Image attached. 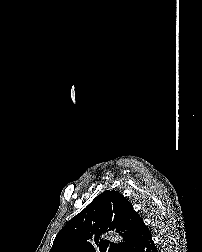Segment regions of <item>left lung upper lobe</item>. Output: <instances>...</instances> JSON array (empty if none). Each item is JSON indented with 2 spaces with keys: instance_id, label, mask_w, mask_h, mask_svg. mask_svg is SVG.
Wrapping results in <instances>:
<instances>
[{
  "instance_id": "5c2ea615",
  "label": "left lung upper lobe",
  "mask_w": 202,
  "mask_h": 252,
  "mask_svg": "<svg viewBox=\"0 0 202 252\" xmlns=\"http://www.w3.org/2000/svg\"><path fill=\"white\" fill-rule=\"evenodd\" d=\"M140 221L142 218L123 195L104 191L62 228L49 252H131ZM106 230H116L125 242L99 241Z\"/></svg>"
}]
</instances>
